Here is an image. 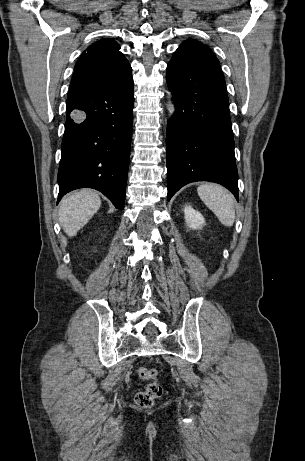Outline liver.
Listing matches in <instances>:
<instances>
[{
	"instance_id": "obj_1",
	"label": "liver",
	"mask_w": 305,
	"mask_h": 461,
	"mask_svg": "<svg viewBox=\"0 0 305 461\" xmlns=\"http://www.w3.org/2000/svg\"><path fill=\"white\" fill-rule=\"evenodd\" d=\"M101 206L99 196L88 189H82L62 199L59 221L64 232L73 237L94 216Z\"/></svg>"
}]
</instances>
